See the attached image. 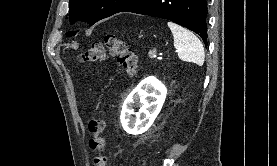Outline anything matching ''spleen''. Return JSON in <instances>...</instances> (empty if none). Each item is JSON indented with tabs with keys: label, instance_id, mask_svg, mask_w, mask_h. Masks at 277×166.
<instances>
[{
	"label": "spleen",
	"instance_id": "obj_1",
	"mask_svg": "<svg viewBox=\"0 0 277 166\" xmlns=\"http://www.w3.org/2000/svg\"><path fill=\"white\" fill-rule=\"evenodd\" d=\"M168 27L173 34L174 47L178 50L179 59L202 66L205 53L204 47L198 37L174 22L169 21Z\"/></svg>",
	"mask_w": 277,
	"mask_h": 166
}]
</instances>
